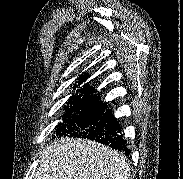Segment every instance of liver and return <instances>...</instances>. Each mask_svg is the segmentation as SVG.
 Returning a JSON list of instances; mask_svg holds the SVG:
<instances>
[{"label": "liver", "mask_w": 183, "mask_h": 179, "mask_svg": "<svg viewBox=\"0 0 183 179\" xmlns=\"http://www.w3.org/2000/svg\"><path fill=\"white\" fill-rule=\"evenodd\" d=\"M128 171L118 151L87 139L62 138L43 150L34 179H127Z\"/></svg>", "instance_id": "liver-1"}]
</instances>
